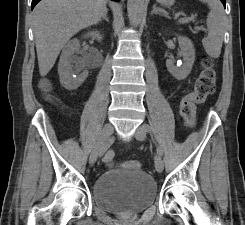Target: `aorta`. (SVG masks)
<instances>
[{"label": "aorta", "mask_w": 245, "mask_h": 225, "mask_svg": "<svg viewBox=\"0 0 245 225\" xmlns=\"http://www.w3.org/2000/svg\"><path fill=\"white\" fill-rule=\"evenodd\" d=\"M144 9V0H128L127 11L132 25L138 26L141 22Z\"/></svg>", "instance_id": "obj_1"}]
</instances>
